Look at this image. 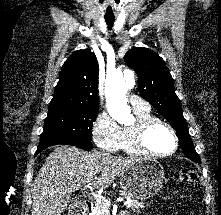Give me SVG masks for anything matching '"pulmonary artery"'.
Listing matches in <instances>:
<instances>
[{
    "label": "pulmonary artery",
    "instance_id": "pulmonary-artery-1",
    "mask_svg": "<svg viewBox=\"0 0 221 215\" xmlns=\"http://www.w3.org/2000/svg\"><path fill=\"white\" fill-rule=\"evenodd\" d=\"M129 103L134 111L149 110V104L137 95H131Z\"/></svg>",
    "mask_w": 221,
    "mask_h": 215
}]
</instances>
